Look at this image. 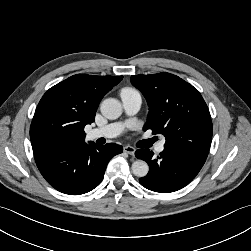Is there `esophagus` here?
<instances>
[{"label": "esophagus", "instance_id": "1", "mask_svg": "<svg viewBox=\"0 0 251 251\" xmlns=\"http://www.w3.org/2000/svg\"><path fill=\"white\" fill-rule=\"evenodd\" d=\"M135 151H136L135 148L132 147V146L126 145V146L124 147V152H125V153H128V154H130V155H132V156H134Z\"/></svg>", "mask_w": 251, "mask_h": 251}]
</instances>
